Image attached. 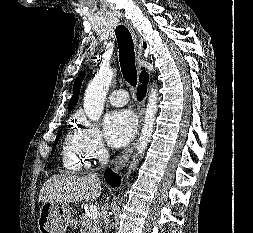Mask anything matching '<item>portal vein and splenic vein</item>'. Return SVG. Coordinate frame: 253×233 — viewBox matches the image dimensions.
I'll return each mask as SVG.
<instances>
[{
  "label": "portal vein and splenic vein",
  "mask_w": 253,
  "mask_h": 233,
  "mask_svg": "<svg viewBox=\"0 0 253 233\" xmlns=\"http://www.w3.org/2000/svg\"><path fill=\"white\" fill-rule=\"evenodd\" d=\"M89 217L93 220L98 216V209L95 205H91L88 212Z\"/></svg>",
  "instance_id": "portal-vein-and-splenic-vein-1"
}]
</instances>
